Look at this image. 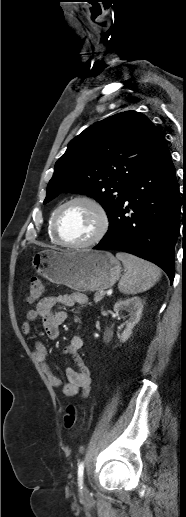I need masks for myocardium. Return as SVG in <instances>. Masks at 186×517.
<instances>
[{
    "label": "myocardium",
    "instance_id": "obj_1",
    "mask_svg": "<svg viewBox=\"0 0 186 517\" xmlns=\"http://www.w3.org/2000/svg\"><path fill=\"white\" fill-rule=\"evenodd\" d=\"M75 203H85V204L89 205L96 212L97 217H98V228H97L96 232L94 233V235L91 238H89L88 240H86L84 242H80V243H70V242L65 241L61 237V235L59 233V229H58L59 218H60L61 213L68 206L75 204ZM109 224H110L109 215H108L106 209L104 208V206L97 199H95L94 197L88 196V195H79V196H75V197L67 200L66 202L61 204L56 209V211L53 215V218H52V233H53L55 240L64 247L72 248V249L88 248V247H91V246L97 244L104 238V236L108 232Z\"/></svg>",
    "mask_w": 186,
    "mask_h": 517
}]
</instances>
